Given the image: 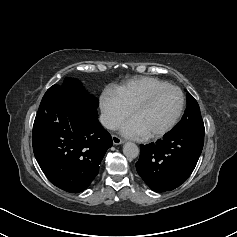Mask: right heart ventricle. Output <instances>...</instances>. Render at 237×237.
<instances>
[{"instance_id":"e07e8e85","label":"right heart ventricle","mask_w":237,"mask_h":237,"mask_svg":"<svg viewBox=\"0 0 237 237\" xmlns=\"http://www.w3.org/2000/svg\"><path fill=\"white\" fill-rule=\"evenodd\" d=\"M169 85L167 82L153 77H138L128 80L122 85L110 88V91L121 101L127 110L150 91Z\"/></svg>"}]
</instances>
